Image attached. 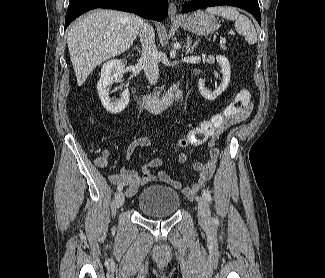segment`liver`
Instances as JSON below:
<instances>
[{
  "instance_id": "obj_1",
  "label": "liver",
  "mask_w": 325,
  "mask_h": 278,
  "mask_svg": "<svg viewBox=\"0 0 325 278\" xmlns=\"http://www.w3.org/2000/svg\"><path fill=\"white\" fill-rule=\"evenodd\" d=\"M143 25L135 14L102 9L75 21L67 45L78 86L102 62L127 51Z\"/></svg>"
}]
</instances>
